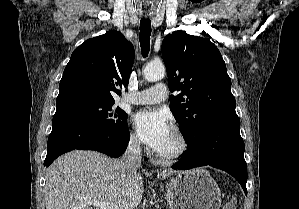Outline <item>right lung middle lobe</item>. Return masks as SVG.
<instances>
[{
  "instance_id": "obj_1",
  "label": "right lung middle lobe",
  "mask_w": 299,
  "mask_h": 209,
  "mask_svg": "<svg viewBox=\"0 0 299 209\" xmlns=\"http://www.w3.org/2000/svg\"><path fill=\"white\" fill-rule=\"evenodd\" d=\"M114 102L75 101L56 104L54 117L67 115L95 126L119 129L126 125L127 114L120 108L113 109Z\"/></svg>"
}]
</instances>
